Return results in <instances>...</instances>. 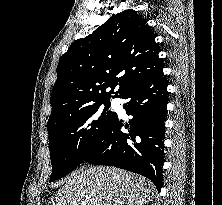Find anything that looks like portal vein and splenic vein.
<instances>
[{
    "label": "portal vein and splenic vein",
    "instance_id": "1",
    "mask_svg": "<svg viewBox=\"0 0 222 205\" xmlns=\"http://www.w3.org/2000/svg\"><path fill=\"white\" fill-rule=\"evenodd\" d=\"M82 205H85V202H82Z\"/></svg>",
    "mask_w": 222,
    "mask_h": 205
}]
</instances>
